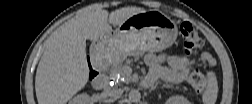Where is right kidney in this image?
<instances>
[{
  "label": "right kidney",
  "instance_id": "1",
  "mask_svg": "<svg viewBox=\"0 0 252 104\" xmlns=\"http://www.w3.org/2000/svg\"><path fill=\"white\" fill-rule=\"evenodd\" d=\"M90 102V97L88 94H79L75 96L69 103L70 104H88Z\"/></svg>",
  "mask_w": 252,
  "mask_h": 104
}]
</instances>
